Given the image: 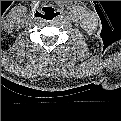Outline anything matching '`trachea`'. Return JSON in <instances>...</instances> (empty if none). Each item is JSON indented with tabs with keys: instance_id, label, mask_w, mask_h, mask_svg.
I'll return each instance as SVG.
<instances>
[{
	"instance_id": "trachea-1",
	"label": "trachea",
	"mask_w": 121,
	"mask_h": 121,
	"mask_svg": "<svg viewBox=\"0 0 121 121\" xmlns=\"http://www.w3.org/2000/svg\"><path fill=\"white\" fill-rule=\"evenodd\" d=\"M43 18L46 20H52L55 17V10L52 7H44L43 9Z\"/></svg>"
}]
</instances>
